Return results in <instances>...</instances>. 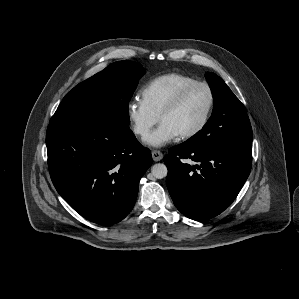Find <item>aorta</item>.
Segmentation results:
<instances>
[{"label":"aorta","instance_id":"1","mask_svg":"<svg viewBox=\"0 0 299 299\" xmlns=\"http://www.w3.org/2000/svg\"><path fill=\"white\" fill-rule=\"evenodd\" d=\"M151 173L156 179H162L167 176L168 170L165 164L158 163L152 166Z\"/></svg>","mask_w":299,"mask_h":299}]
</instances>
